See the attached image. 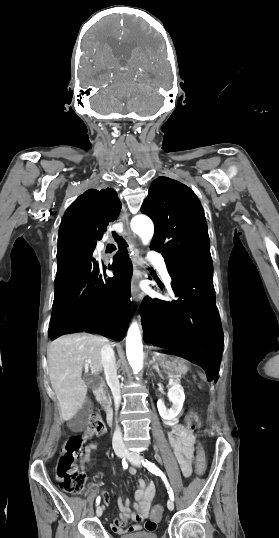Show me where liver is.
<instances>
[{"instance_id": "liver-1", "label": "liver", "mask_w": 279, "mask_h": 538, "mask_svg": "<svg viewBox=\"0 0 279 538\" xmlns=\"http://www.w3.org/2000/svg\"><path fill=\"white\" fill-rule=\"evenodd\" d=\"M106 338L91 334H68L47 348L49 378L61 410L62 420H71L81 410L87 396L82 370L88 362L91 374L102 372L101 348Z\"/></svg>"}]
</instances>
